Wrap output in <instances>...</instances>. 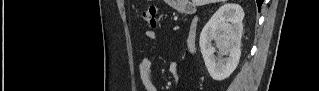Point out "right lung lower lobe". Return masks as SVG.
Here are the masks:
<instances>
[{
    "label": "right lung lower lobe",
    "instance_id": "1",
    "mask_svg": "<svg viewBox=\"0 0 319 91\" xmlns=\"http://www.w3.org/2000/svg\"><path fill=\"white\" fill-rule=\"evenodd\" d=\"M256 2H257V5H258V8H260L262 3H263V0H256Z\"/></svg>",
    "mask_w": 319,
    "mask_h": 91
}]
</instances>
